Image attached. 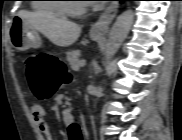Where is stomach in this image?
Returning <instances> with one entry per match:
<instances>
[{
	"label": "stomach",
	"instance_id": "stomach-1",
	"mask_svg": "<svg viewBox=\"0 0 182 140\" xmlns=\"http://www.w3.org/2000/svg\"><path fill=\"white\" fill-rule=\"evenodd\" d=\"M9 35L12 45L19 50L37 48L41 44L39 33L29 25L26 19L19 15L12 19ZM90 37L93 40H98L101 35L90 33Z\"/></svg>",
	"mask_w": 182,
	"mask_h": 140
}]
</instances>
